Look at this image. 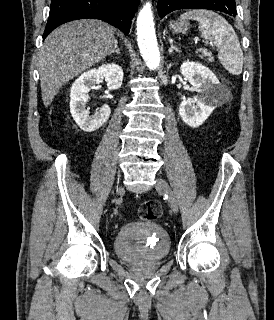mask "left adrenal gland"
<instances>
[{
    "label": "left adrenal gland",
    "mask_w": 274,
    "mask_h": 320,
    "mask_svg": "<svg viewBox=\"0 0 274 320\" xmlns=\"http://www.w3.org/2000/svg\"><path fill=\"white\" fill-rule=\"evenodd\" d=\"M170 42V48L168 50L169 54H173V52H177V54H180L181 50L179 48H176V46H173L172 40H169Z\"/></svg>",
    "instance_id": "left-adrenal-gland-1"
}]
</instances>
